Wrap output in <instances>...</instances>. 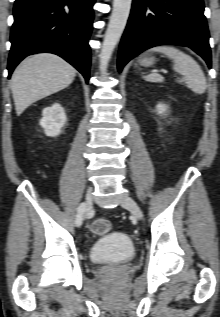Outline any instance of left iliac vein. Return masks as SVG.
<instances>
[{
    "mask_svg": "<svg viewBox=\"0 0 220 317\" xmlns=\"http://www.w3.org/2000/svg\"><path fill=\"white\" fill-rule=\"evenodd\" d=\"M121 206L128 209L136 219L141 220L143 218L142 211L133 198L124 197L121 201Z\"/></svg>",
    "mask_w": 220,
    "mask_h": 317,
    "instance_id": "obj_1",
    "label": "left iliac vein"
}]
</instances>
